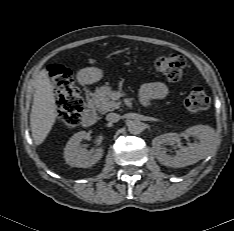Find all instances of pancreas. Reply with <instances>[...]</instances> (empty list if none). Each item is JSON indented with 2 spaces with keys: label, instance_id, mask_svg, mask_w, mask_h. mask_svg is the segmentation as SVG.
Segmentation results:
<instances>
[{
  "label": "pancreas",
  "instance_id": "1",
  "mask_svg": "<svg viewBox=\"0 0 234 231\" xmlns=\"http://www.w3.org/2000/svg\"><path fill=\"white\" fill-rule=\"evenodd\" d=\"M113 94L110 86H101L96 89L92 97L94 107L101 113L119 108L120 103L112 99Z\"/></svg>",
  "mask_w": 234,
  "mask_h": 231
}]
</instances>
